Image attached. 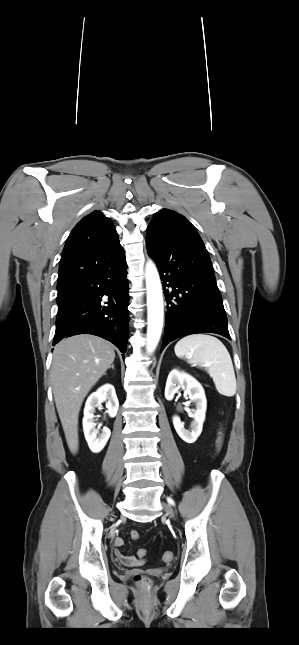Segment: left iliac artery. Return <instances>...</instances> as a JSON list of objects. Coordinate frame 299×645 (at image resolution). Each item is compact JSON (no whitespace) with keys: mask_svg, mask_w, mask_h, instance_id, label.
<instances>
[{"mask_svg":"<svg viewBox=\"0 0 299 645\" xmlns=\"http://www.w3.org/2000/svg\"><path fill=\"white\" fill-rule=\"evenodd\" d=\"M168 501H169V503H171L172 505L174 504V502H173V500H172V499H170V498H169V499H168Z\"/></svg>","mask_w":299,"mask_h":645,"instance_id":"obj_1","label":"left iliac artery"}]
</instances>
